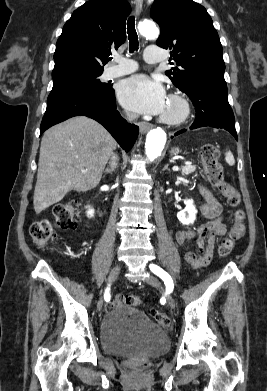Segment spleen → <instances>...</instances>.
Instances as JSON below:
<instances>
[{
	"instance_id": "obj_1",
	"label": "spleen",
	"mask_w": 267,
	"mask_h": 391,
	"mask_svg": "<svg viewBox=\"0 0 267 391\" xmlns=\"http://www.w3.org/2000/svg\"><path fill=\"white\" fill-rule=\"evenodd\" d=\"M225 160L226 162L230 165L233 166L235 164V159L231 151H227L225 155Z\"/></svg>"
}]
</instances>
